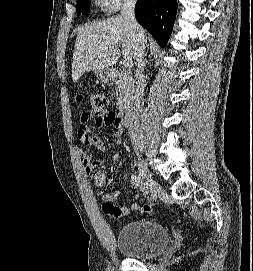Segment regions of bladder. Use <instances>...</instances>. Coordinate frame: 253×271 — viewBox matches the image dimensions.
Segmentation results:
<instances>
[{"mask_svg":"<svg viewBox=\"0 0 253 271\" xmlns=\"http://www.w3.org/2000/svg\"><path fill=\"white\" fill-rule=\"evenodd\" d=\"M170 241L164 225L137 220L122 226L116 236L117 249L128 258L147 259L166 249Z\"/></svg>","mask_w":253,"mask_h":271,"instance_id":"bladder-1","label":"bladder"}]
</instances>
